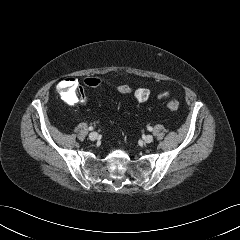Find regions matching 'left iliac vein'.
<instances>
[{
  "instance_id": "obj_1",
  "label": "left iliac vein",
  "mask_w": 240,
  "mask_h": 240,
  "mask_svg": "<svg viewBox=\"0 0 240 240\" xmlns=\"http://www.w3.org/2000/svg\"><path fill=\"white\" fill-rule=\"evenodd\" d=\"M143 139L146 143H151L153 141V136L152 135H145L143 137Z\"/></svg>"
}]
</instances>
